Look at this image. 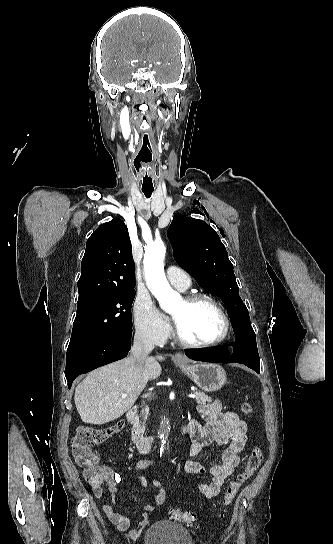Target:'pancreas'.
<instances>
[{"mask_svg":"<svg viewBox=\"0 0 333 544\" xmlns=\"http://www.w3.org/2000/svg\"><path fill=\"white\" fill-rule=\"evenodd\" d=\"M194 394H196L197 396L196 402L198 404H205V403L212 402V399L210 397H208L205 393L198 391L197 389H195ZM148 414H149V408L148 406H144L140 412V416L143 418V421L140 425L142 429L145 428V422H146Z\"/></svg>","mask_w":333,"mask_h":544,"instance_id":"pancreas-1","label":"pancreas"}]
</instances>
